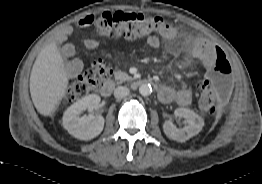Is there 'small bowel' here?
Here are the masks:
<instances>
[{"label": "small bowel", "mask_w": 262, "mask_h": 184, "mask_svg": "<svg viewBox=\"0 0 262 184\" xmlns=\"http://www.w3.org/2000/svg\"><path fill=\"white\" fill-rule=\"evenodd\" d=\"M69 31L70 29L67 28L65 33L62 32L60 35L61 38L63 39ZM176 37L177 30L172 26L166 25L160 32L148 36L146 38V44L152 49H157L161 44V38L174 40ZM100 44L101 41L98 39H86L84 42V45L88 49H95ZM183 45L191 58L201 61L204 67V78L208 79L219 66L216 57V48L207 41L190 36L184 38ZM73 54L74 48L71 44H65L62 47V55L65 58L70 59ZM82 69L83 63L81 60L71 59L68 62V73L70 77L77 76ZM158 96L162 103L170 104L175 102L181 106H188L192 102L193 92L189 87L175 90L170 86L164 85L159 88Z\"/></svg>", "instance_id": "small-bowel-1"}]
</instances>
